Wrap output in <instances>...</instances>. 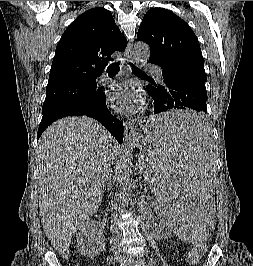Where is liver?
I'll use <instances>...</instances> for the list:
<instances>
[{
    "label": "liver",
    "mask_w": 253,
    "mask_h": 266,
    "mask_svg": "<svg viewBox=\"0 0 253 266\" xmlns=\"http://www.w3.org/2000/svg\"><path fill=\"white\" fill-rule=\"evenodd\" d=\"M120 153L110 133L89 117H67L39 139V211L44 232L63 257L75 231L97 211L106 175Z\"/></svg>",
    "instance_id": "6515ba94"
}]
</instances>
